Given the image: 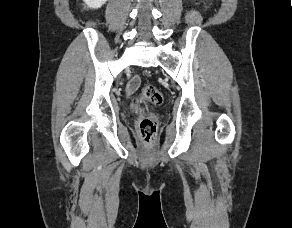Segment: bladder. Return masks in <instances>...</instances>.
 Wrapping results in <instances>:
<instances>
[{"instance_id":"1","label":"bladder","mask_w":292,"mask_h":228,"mask_svg":"<svg viewBox=\"0 0 292 228\" xmlns=\"http://www.w3.org/2000/svg\"><path fill=\"white\" fill-rule=\"evenodd\" d=\"M139 109H140V108H139L138 106H133V107H132V110H133V111H138Z\"/></svg>"}]
</instances>
